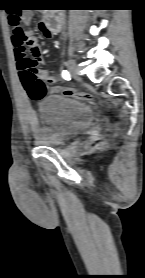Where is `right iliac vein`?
<instances>
[{
    "instance_id": "1",
    "label": "right iliac vein",
    "mask_w": 145,
    "mask_h": 278,
    "mask_svg": "<svg viewBox=\"0 0 145 278\" xmlns=\"http://www.w3.org/2000/svg\"><path fill=\"white\" fill-rule=\"evenodd\" d=\"M67 67L72 76L77 77L78 75V67L76 66L75 62L72 59H68Z\"/></svg>"
}]
</instances>
